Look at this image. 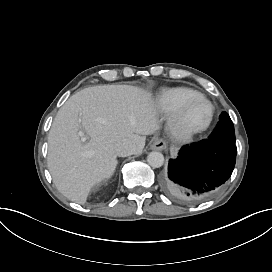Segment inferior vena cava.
<instances>
[{"mask_svg": "<svg viewBox=\"0 0 272 272\" xmlns=\"http://www.w3.org/2000/svg\"><path fill=\"white\" fill-rule=\"evenodd\" d=\"M114 151L119 157H127L137 152V146L131 139L123 138L115 144Z\"/></svg>", "mask_w": 272, "mask_h": 272, "instance_id": "1", "label": "inferior vena cava"}]
</instances>
